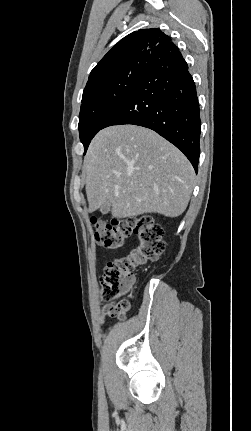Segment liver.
Listing matches in <instances>:
<instances>
[{"mask_svg": "<svg viewBox=\"0 0 251 431\" xmlns=\"http://www.w3.org/2000/svg\"><path fill=\"white\" fill-rule=\"evenodd\" d=\"M89 212L104 203L114 218L144 213L181 215L195 172L188 159L154 131L136 125L107 127L93 138L84 158Z\"/></svg>", "mask_w": 251, "mask_h": 431, "instance_id": "1", "label": "liver"}]
</instances>
